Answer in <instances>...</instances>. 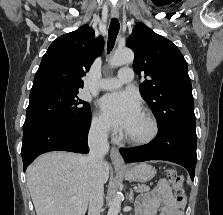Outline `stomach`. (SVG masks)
<instances>
[{
    "label": "stomach",
    "instance_id": "stomach-1",
    "mask_svg": "<svg viewBox=\"0 0 223 215\" xmlns=\"http://www.w3.org/2000/svg\"><path fill=\"white\" fill-rule=\"evenodd\" d=\"M118 171H122L125 175V179L129 181H149L156 173L155 167L149 165V163H138V165H126V167H119Z\"/></svg>",
    "mask_w": 223,
    "mask_h": 215
}]
</instances>
